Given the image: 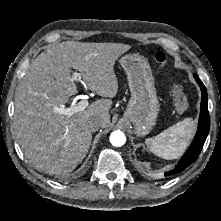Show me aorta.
Returning <instances> with one entry per match:
<instances>
[{
  "label": "aorta",
  "instance_id": "obj_1",
  "mask_svg": "<svg viewBox=\"0 0 221 221\" xmlns=\"http://www.w3.org/2000/svg\"><path fill=\"white\" fill-rule=\"evenodd\" d=\"M125 142H126V136L122 131L116 130L111 133L110 143L113 146L120 147L123 146Z\"/></svg>",
  "mask_w": 221,
  "mask_h": 221
}]
</instances>
